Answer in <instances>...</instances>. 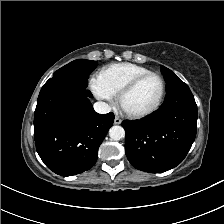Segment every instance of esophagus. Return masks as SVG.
Instances as JSON below:
<instances>
[{"label": "esophagus", "mask_w": 224, "mask_h": 224, "mask_svg": "<svg viewBox=\"0 0 224 224\" xmlns=\"http://www.w3.org/2000/svg\"><path fill=\"white\" fill-rule=\"evenodd\" d=\"M122 120L119 117H115L114 124H120Z\"/></svg>", "instance_id": "esophagus-1"}]
</instances>
